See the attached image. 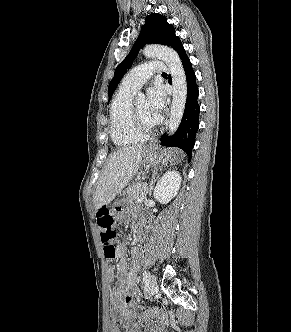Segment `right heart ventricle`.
<instances>
[{"label": "right heart ventricle", "mask_w": 291, "mask_h": 332, "mask_svg": "<svg viewBox=\"0 0 291 332\" xmlns=\"http://www.w3.org/2000/svg\"><path fill=\"white\" fill-rule=\"evenodd\" d=\"M134 93L120 88L110 107V135L117 146H129L145 139L132 126L131 105Z\"/></svg>", "instance_id": "1"}]
</instances>
